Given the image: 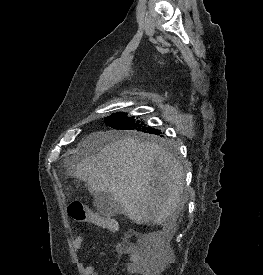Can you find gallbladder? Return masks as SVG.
Masks as SVG:
<instances>
[{
	"label": "gallbladder",
	"instance_id": "1",
	"mask_svg": "<svg viewBox=\"0 0 263 275\" xmlns=\"http://www.w3.org/2000/svg\"><path fill=\"white\" fill-rule=\"evenodd\" d=\"M94 206L104 217H113L123 213L121 204L109 192L95 193Z\"/></svg>",
	"mask_w": 263,
	"mask_h": 275
}]
</instances>
